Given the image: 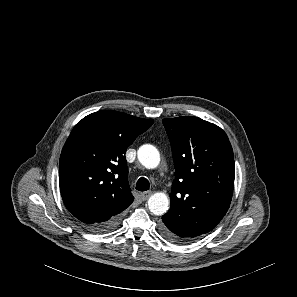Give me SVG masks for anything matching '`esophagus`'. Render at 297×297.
Returning <instances> with one entry per match:
<instances>
[{"instance_id": "34e87169", "label": "esophagus", "mask_w": 297, "mask_h": 297, "mask_svg": "<svg viewBox=\"0 0 297 297\" xmlns=\"http://www.w3.org/2000/svg\"><path fill=\"white\" fill-rule=\"evenodd\" d=\"M151 194H152L151 191L142 192L140 193V198L141 200L145 201L151 196Z\"/></svg>"}]
</instances>
